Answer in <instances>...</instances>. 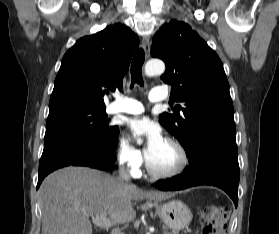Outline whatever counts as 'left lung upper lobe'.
Masks as SVG:
<instances>
[{
    "label": "left lung upper lobe",
    "mask_w": 279,
    "mask_h": 234,
    "mask_svg": "<svg viewBox=\"0 0 279 234\" xmlns=\"http://www.w3.org/2000/svg\"><path fill=\"white\" fill-rule=\"evenodd\" d=\"M151 55L162 59L164 83L172 85L174 114L159 122L192 156L198 142L213 133H236L229 83L218 55L191 29L177 20L165 23L153 37Z\"/></svg>",
    "instance_id": "obj_1"
}]
</instances>
